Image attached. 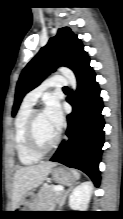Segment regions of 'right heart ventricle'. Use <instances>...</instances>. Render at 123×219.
<instances>
[{"label":"right heart ventricle","instance_id":"e07e8e85","mask_svg":"<svg viewBox=\"0 0 123 219\" xmlns=\"http://www.w3.org/2000/svg\"><path fill=\"white\" fill-rule=\"evenodd\" d=\"M32 105L22 103L14 124V145L21 164L29 166L37 163L40 157L32 153L27 145L26 129Z\"/></svg>","mask_w":123,"mask_h":219}]
</instances>
